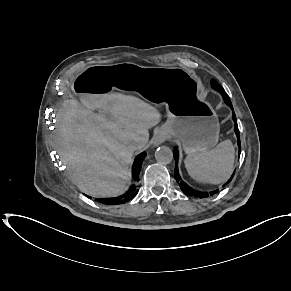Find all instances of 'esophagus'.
Returning a JSON list of instances; mask_svg holds the SVG:
<instances>
[{"label":"esophagus","instance_id":"obj_1","mask_svg":"<svg viewBox=\"0 0 291 291\" xmlns=\"http://www.w3.org/2000/svg\"><path fill=\"white\" fill-rule=\"evenodd\" d=\"M164 139L158 140L155 144H160Z\"/></svg>","mask_w":291,"mask_h":291}]
</instances>
